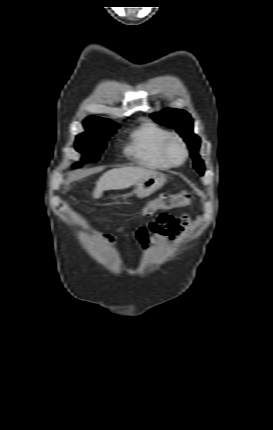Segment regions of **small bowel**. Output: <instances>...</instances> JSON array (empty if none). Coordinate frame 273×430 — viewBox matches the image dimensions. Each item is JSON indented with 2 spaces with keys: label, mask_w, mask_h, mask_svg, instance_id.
<instances>
[{
  "label": "small bowel",
  "mask_w": 273,
  "mask_h": 430,
  "mask_svg": "<svg viewBox=\"0 0 273 430\" xmlns=\"http://www.w3.org/2000/svg\"><path fill=\"white\" fill-rule=\"evenodd\" d=\"M188 219L186 216L175 218L162 215L145 227H141L135 233V237L143 252L147 251L151 244L167 246L174 244L178 236L187 228ZM123 231V228L116 230L115 234ZM115 234L104 235V239L112 243Z\"/></svg>",
  "instance_id": "c3829d8e"
}]
</instances>
